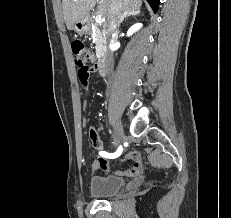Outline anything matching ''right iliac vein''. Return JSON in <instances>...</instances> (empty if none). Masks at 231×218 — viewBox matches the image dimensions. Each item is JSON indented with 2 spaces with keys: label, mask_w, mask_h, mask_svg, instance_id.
Masks as SVG:
<instances>
[{
  "label": "right iliac vein",
  "mask_w": 231,
  "mask_h": 218,
  "mask_svg": "<svg viewBox=\"0 0 231 218\" xmlns=\"http://www.w3.org/2000/svg\"><path fill=\"white\" fill-rule=\"evenodd\" d=\"M124 139V130L120 122L115 123L114 145L117 146Z\"/></svg>",
  "instance_id": "obj_1"
}]
</instances>
